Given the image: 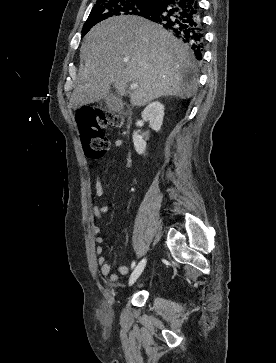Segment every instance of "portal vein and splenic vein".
I'll list each match as a JSON object with an SVG mask.
<instances>
[{"label": "portal vein and splenic vein", "mask_w": 276, "mask_h": 363, "mask_svg": "<svg viewBox=\"0 0 276 363\" xmlns=\"http://www.w3.org/2000/svg\"><path fill=\"white\" fill-rule=\"evenodd\" d=\"M138 87V84H131L130 85V89L131 90H134L135 88H137Z\"/></svg>", "instance_id": "obj_1"}]
</instances>
